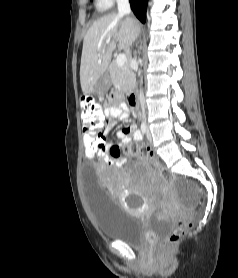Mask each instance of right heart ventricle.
Masks as SVG:
<instances>
[{
  "mask_svg": "<svg viewBox=\"0 0 238 278\" xmlns=\"http://www.w3.org/2000/svg\"><path fill=\"white\" fill-rule=\"evenodd\" d=\"M96 7L101 12L109 8V6L101 0H96Z\"/></svg>",
  "mask_w": 238,
  "mask_h": 278,
  "instance_id": "e07e8e85",
  "label": "right heart ventricle"
}]
</instances>
